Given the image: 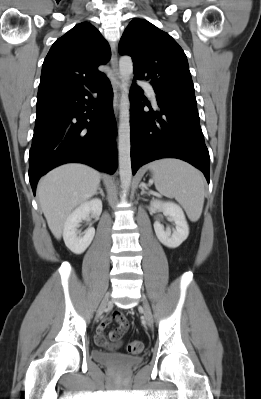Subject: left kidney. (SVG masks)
I'll return each mask as SVG.
<instances>
[{"instance_id": "obj_1", "label": "left kidney", "mask_w": 261, "mask_h": 399, "mask_svg": "<svg viewBox=\"0 0 261 399\" xmlns=\"http://www.w3.org/2000/svg\"><path fill=\"white\" fill-rule=\"evenodd\" d=\"M151 208L160 209L165 216L172 220L176 228L171 232L170 229H164V226L156 221L154 230L159 241L168 248H177L184 242L189 235V227L182 208L174 202H163L153 200L150 203Z\"/></svg>"}]
</instances>
